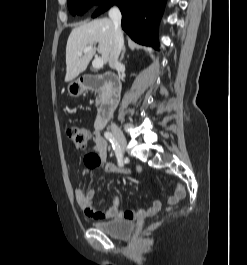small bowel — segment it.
I'll return each instance as SVG.
<instances>
[{
  "label": "small bowel",
  "instance_id": "small-bowel-1",
  "mask_svg": "<svg viewBox=\"0 0 247 265\" xmlns=\"http://www.w3.org/2000/svg\"><path fill=\"white\" fill-rule=\"evenodd\" d=\"M92 140L94 143L93 151L87 153L84 156L85 166L90 169L101 168L107 172L116 171V167L113 164L107 162V142L98 130L92 134ZM95 194L96 192L94 189H90L85 192L81 188H77L74 191L75 200L84 214L96 220L124 218L127 220L142 221L146 217L155 215L162 208V203L156 200L145 210H121V201L118 197H115L108 210L100 211L97 210L93 205ZM185 194L186 190L184 186L178 185L174 193L169 197L168 203H177L179 200L185 197Z\"/></svg>",
  "mask_w": 247,
  "mask_h": 265
}]
</instances>
